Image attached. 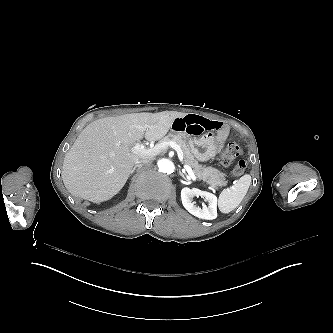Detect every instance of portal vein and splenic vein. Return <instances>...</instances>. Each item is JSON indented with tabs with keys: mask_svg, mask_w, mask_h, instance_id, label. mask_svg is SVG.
I'll return each instance as SVG.
<instances>
[{
	"mask_svg": "<svg viewBox=\"0 0 333 333\" xmlns=\"http://www.w3.org/2000/svg\"><path fill=\"white\" fill-rule=\"evenodd\" d=\"M146 127H148V125H146ZM168 147H171L172 149H174L177 152V156L178 159L180 161H183V151L180 147V145H178L176 142L174 141H169V142H162L159 144H156L154 147L152 148H145L144 145L136 143L134 147H132V152L134 154H138L141 156H155L158 155L159 153H161L163 150H166ZM184 169L187 171L189 177L192 180H196V176L192 170V168L189 165H184Z\"/></svg>",
	"mask_w": 333,
	"mask_h": 333,
	"instance_id": "obj_1",
	"label": "portal vein and splenic vein"
}]
</instances>
